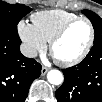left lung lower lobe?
<instances>
[{"label":"left lung lower lobe","mask_w":102,"mask_h":102,"mask_svg":"<svg viewBox=\"0 0 102 102\" xmlns=\"http://www.w3.org/2000/svg\"><path fill=\"white\" fill-rule=\"evenodd\" d=\"M62 71L58 102H102V42L94 43L81 63Z\"/></svg>","instance_id":"left-lung-lower-lobe-1"}]
</instances>
